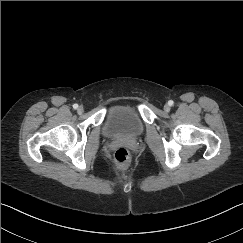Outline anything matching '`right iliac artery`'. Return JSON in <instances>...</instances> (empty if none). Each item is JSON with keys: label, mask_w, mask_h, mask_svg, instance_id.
Here are the masks:
<instances>
[{"label": "right iliac artery", "mask_w": 243, "mask_h": 243, "mask_svg": "<svg viewBox=\"0 0 243 243\" xmlns=\"http://www.w3.org/2000/svg\"><path fill=\"white\" fill-rule=\"evenodd\" d=\"M73 108H74V109H77V108H78V104H74V105H73Z\"/></svg>", "instance_id": "obj_1"}]
</instances>
